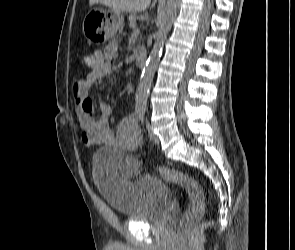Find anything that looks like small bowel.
Segmentation results:
<instances>
[{"mask_svg": "<svg viewBox=\"0 0 295 250\" xmlns=\"http://www.w3.org/2000/svg\"><path fill=\"white\" fill-rule=\"evenodd\" d=\"M116 55L117 46L114 43L109 44L103 51L96 50L92 53L93 61L89 66L91 71L84 79L74 83V102L82 141L86 146L106 145L133 151L140 141V133L135 121L131 118L126 119L119 124L117 132L114 133L109 125L112 106L103 102L100 94L97 93L101 115L96 117L94 102L90 96V92L96 91L98 84L111 74V62ZM139 168L140 163L136 159L128 158L124 162L123 173L137 172Z\"/></svg>", "mask_w": 295, "mask_h": 250, "instance_id": "obj_1", "label": "small bowel"}]
</instances>
